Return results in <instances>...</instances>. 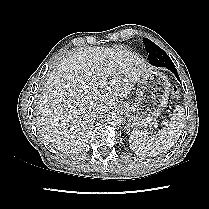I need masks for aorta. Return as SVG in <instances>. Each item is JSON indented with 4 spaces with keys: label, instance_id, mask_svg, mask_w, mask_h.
I'll use <instances>...</instances> for the list:
<instances>
[{
    "label": "aorta",
    "instance_id": "1",
    "mask_svg": "<svg viewBox=\"0 0 209 209\" xmlns=\"http://www.w3.org/2000/svg\"><path fill=\"white\" fill-rule=\"evenodd\" d=\"M122 119V116L118 113H111L107 115V123L113 127L120 126Z\"/></svg>",
    "mask_w": 209,
    "mask_h": 209
}]
</instances>
